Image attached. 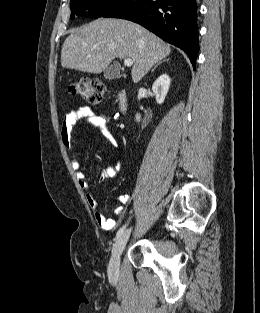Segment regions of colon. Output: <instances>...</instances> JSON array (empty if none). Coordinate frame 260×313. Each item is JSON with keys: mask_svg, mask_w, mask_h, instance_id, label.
I'll use <instances>...</instances> for the list:
<instances>
[{"mask_svg": "<svg viewBox=\"0 0 260 313\" xmlns=\"http://www.w3.org/2000/svg\"><path fill=\"white\" fill-rule=\"evenodd\" d=\"M68 90L70 94L79 96L92 104L100 103L106 93V87L103 83L89 78L73 81Z\"/></svg>", "mask_w": 260, "mask_h": 313, "instance_id": "obj_1", "label": "colon"}]
</instances>
